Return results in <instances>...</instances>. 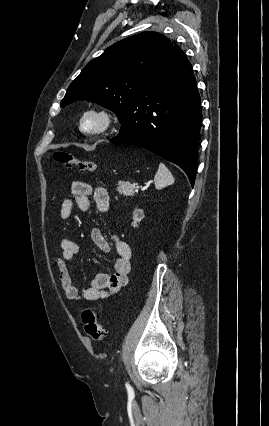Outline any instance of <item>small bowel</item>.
I'll list each match as a JSON object with an SVG mask.
<instances>
[{
  "label": "small bowel",
  "instance_id": "small-bowel-1",
  "mask_svg": "<svg viewBox=\"0 0 269 426\" xmlns=\"http://www.w3.org/2000/svg\"><path fill=\"white\" fill-rule=\"evenodd\" d=\"M101 212H106L110 206V195L106 188H92L89 184L75 181L71 185V197L65 199L60 208V216L67 220L73 210L88 211L91 207L90 197ZM91 239L94 245L103 252H109V243L99 228L91 231ZM115 259L110 271L97 274L81 293L74 283L68 264L79 253V245L72 239H61V256L55 260L61 289L65 297L73 302L103 301L117 293L128 283L131 271V248L118 236H114Z\"/></svg>",
  "mask_w": 269,
  "mask_h": 426
}]
</instances>
